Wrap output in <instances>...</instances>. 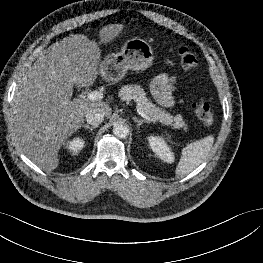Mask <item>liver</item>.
Returning a JSON list of instances; mask_svg holds the SVG:
<instances>
[{
  "label": "liver",
  "instance_id": "obj_1",
  "mask_svg": "<svg viewBox=\"0 0 263 263\" xmlns=\"http://www.w3.org/2000/svg\"><path fill=\"white\" fill-rule=\"evenodd\" d=\"M122 24L99 31L103 43L122 32ZM100 49L83 34L53 43L39 56L18 84L10 124L20 151L39 168L50 172L59 165V150L94 108L110 117V100L72 98L74 84L89 87L100 74Z\"/></svg>",
  "mask_w": 263,
  "mask_h": 263
}]
</instances>
